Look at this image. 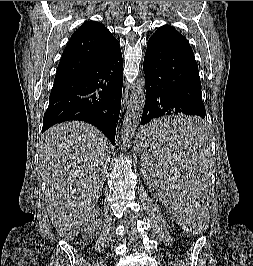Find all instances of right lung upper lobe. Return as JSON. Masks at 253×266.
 I'll list each match as a JSON object with an SVG mask.
<instances>
[{
    "label": "right lung upper lobe",
    "mask_w": 253,
    "mask_h": 266,
    "mask_svg": "<svg viewBox=\"0 0 253 266\" xmlns=\"http://www.w3.org/2000/svg\"><path fill=\"white\" fill-rule=\"evenodd\" d=\"M120 51L119 42L102 23L85 22L71 36L58 65L55 81L105 62Z\"/></svg>",
    "instance_id": "right-lung-upper-lobe-1"
}]
</instances>
